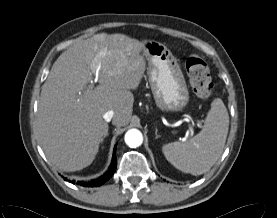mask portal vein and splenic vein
<instances>
[{
    "label": "portal vein and splenic vein",
    "instance_id": "1",
    "mask_svg": "<svg viewBox=\"0 0 277 218\" xmlns=\"http://www.w3.org/2000/svg\"><path fill=\"white\" fill-rule=\"evenodd\" d=\"M98 70H99V68H97L96 70H93V74H94L96 77H98ZM93 86H94V84H93V82H91V84L88 86V89H92ZM189 129H190V131H191V133H192V128L189 127Z\"/></svg>",
    "mask_w": 277,
    "mask_h": 218
}]
</instances>
